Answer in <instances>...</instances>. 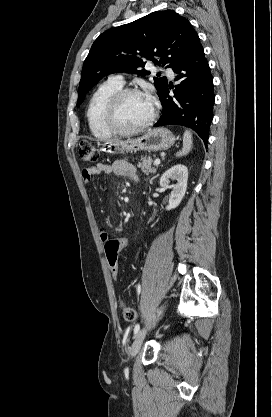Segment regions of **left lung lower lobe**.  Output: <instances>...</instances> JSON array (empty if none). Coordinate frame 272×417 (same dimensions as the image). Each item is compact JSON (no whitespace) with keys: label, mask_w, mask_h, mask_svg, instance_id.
Instances as JSON below:
<instances>
[{"label":"left lung lower lobe","mask_w":272,"mask_h":417,"mask_svg":"<svg viewBox=\"0 0 272 417\" xmlns=\"http://www.w3.org/2000/svg\"><path fill=\"white\" fill-rule=\"evenodd\" d=\"M173 70L177 73L175 80L182 79V82L174 88V97L169 96V89L173 86L167 84L160 96L162 116L154 126L189 127L207 145L215 95L213 78L203 47L184 58Z\"/></svg>","instance_id":"left-lung-lower-lobe-1"}]
</instances>
